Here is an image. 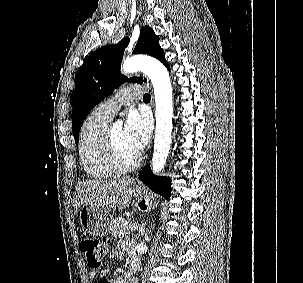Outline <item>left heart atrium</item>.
<instances>
[{
  "label": "left heart atrium",
  "instance_id": "obj_1",
  "mask_svg": "<svg viewBox=\"0 0 303 283\" xmlns=\"http://www.w3.org/2000/svg\"><path fill=\"white\" fill-rule=\"evenodd\" d=\"M150 131V118L145 112L132 109L127 113L123 135L126 143L134 153H140L145 147L150 137Z\"/></svg>",
  "mask_w": 303,
  "mask_h": 283
}]
</instances>
